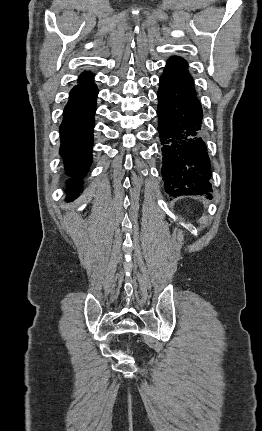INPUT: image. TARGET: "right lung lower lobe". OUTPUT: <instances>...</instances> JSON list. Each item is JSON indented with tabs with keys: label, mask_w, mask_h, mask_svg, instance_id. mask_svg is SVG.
I'll list each match as a JSON object with an SVG mask.
<instances>
[{
	"label": "right lung lower lobe",
	"mask_w": 262,
	"mask_h": 431,
	"mask_svg": "<svg viewBox=\"0 0 262 431\" xmlns=\"http://www.w3.org/2000/svg\"><path fill=\"white\" fill-rule=\"evenodd\" d=\"M98 90L95 84L77 85L69 96L60 126V154L67 174L68 198L73 200L81 190L83 177L92 162L94 114Z\"/></svg>",
	"instance_id": "right-lung-lower-lobe-1"
}]
</instances>
